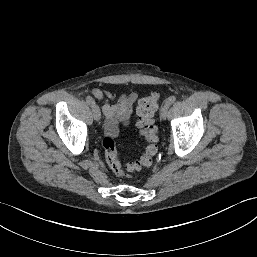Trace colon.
<instances>
[{
	"mask_svg": "<svg viewBox=\"0 0 257 257\" xmlns=\"http://www.w3.org/2000/svg\"><path fill=\"white\" fill-rule=\"evenodd\" d=\"M159 96L153 93L140 100L137 108L138 112V126L145 138L146 146L143 154L136 160L130 161L126 164L128 172L139 171L145 167H149L158 152L156 145L157 131L154 125V115L158 108ZM105 160L109 168L117 177L125 175L121 163L118 158L115 142L112 137L107 136L102 142Z\"/></svg>",
	"mask_w": 257,
	"mask_h": 257,
	"instance_id": "1",
	"label": "colon"
}]
</instances>
